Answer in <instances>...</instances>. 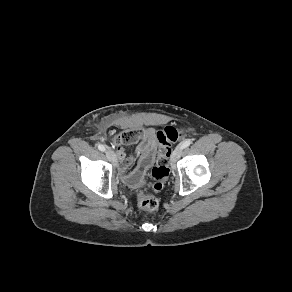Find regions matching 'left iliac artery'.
Masks as SVG:
<instances>
[{
	"instance_id": "1",
	"label": "left iliac artery",
	"mask_w": 292,
	"mask_h": 292,
	"mask_svg": "<svg viewBox=\"0 0 292 292\" xmlns=\"http://www.w3.org/2000/svg\"><path fill=\"white\" fill-rule=\"evenodd\" d=\"M191 143H192V141L190 139H187L181 144V148L184 149V148L188 147Z\"/></svg>"
}]
</instances>
